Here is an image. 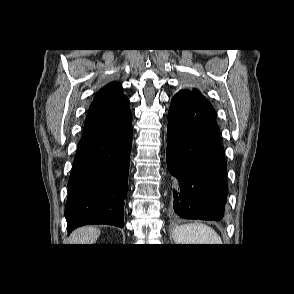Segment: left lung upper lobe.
I'll list each match as a JSON object with an SVG mask.
<instances>
[{
    "label": "left lung upper lobe",
    "instance_id": "obj_1",
    "mask_svg": "<svg viewBox=\"0 0 294 294\" xmlns=\"http://www.w3.org/2000/svg\"><path fill=\"white\" fill-rule=\"evenodd\" d=\"M182 92H189L195 95H200L203 96L197 89L193 88V89H184V90H180L178 93H182ZM177 93V94H178Z\"/></svg>",
    "mask_w": 294,
    "mask_h": 294
}]
</instances>
